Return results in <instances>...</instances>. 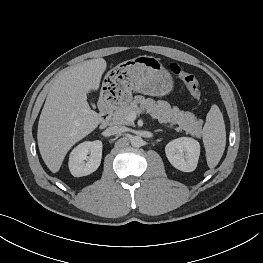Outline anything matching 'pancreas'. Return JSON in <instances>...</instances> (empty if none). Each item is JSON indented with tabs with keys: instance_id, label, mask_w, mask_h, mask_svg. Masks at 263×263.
Returning <instances> with one entry per match:
<instances>
[{
	"instance_id": "pancreas-1",
	"label": "pancreas",
	"mask_w": 263,
	"mask_h": 263,
	"mask_svg": "<svg viewBox=\"0 0 263 263\" xmlns=\"http://www.w3.org/2000/svg\"><path fill=\"white\" fill-rule=\"evenodd\" d=\"M146 110L152 118L158 119L160 123L179 125L178 130H184L187 134L200 138L202 135L203 120L191 112L180 111L177 107L171 108L166 101H154L145 99L143 96H136L132 102L117 109L113 114V123L117 125H133L128 119L131 112L136 114Z\"/></svg>"
}]
</instances>
